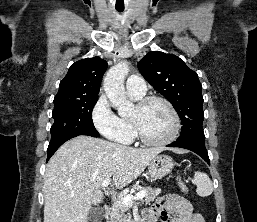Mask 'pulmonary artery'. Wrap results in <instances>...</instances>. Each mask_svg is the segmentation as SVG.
<instances>
[{
  "instance_id": "e3ab8cb5",
  "label": "pulmonary artery",
  "mask_w": 257,
  "mask_h": 222,
  "mask_svg": "<svg viewBox=\"0 0 257 222\" xmlns=\"http://www.w3.org/2000/svg\"><path fill=\"white\" fill-rule=\"evenodd\" d=\"M126 89L129 94L144 96L147 90L144 79L139 75H132L126 81Z\"/></svg>"
}]
</instances>
